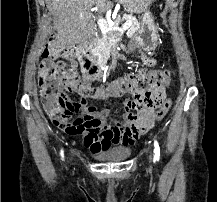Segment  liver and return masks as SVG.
<instances>
[{"label":"liver","mask_w":217,"mask_h":202,"mask_svg":"<svg viewBox=\"0 0 217 202\" xmlns=\"http://www.w3.org/2000/svg\"><path fill=\"white\" fill-rule=\"evenodd\" d=\"M123 4L126 12L142 14L154 0H118ZM47 8L52 10L57 22L58 46H74L86 42L94 34L96 24L90 12L93 6L99 12H106L110 8L107 0H46Z\"/></svg>","instance_id":"6515ba94"}]
</instances>
